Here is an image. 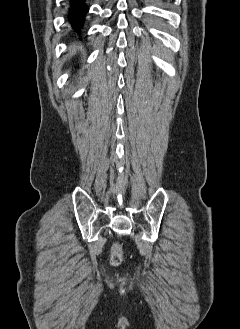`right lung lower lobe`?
Listing matches in <instances>:
<instances>
[{"mask_svg": "<svg viewBox=\"0 0 240 329\" xmlns=\"http://www.w3.org/2000/svg\"><path fill=\"white\" fill-rule=\"evenodd\" d=\"M88 10L89 8L85 4V0H70L68 20L71 23L72 28L78 33L84 24Z\"/></svg>", "mask_w": 240, "mask_h": 329, "instance_id": "98d812e1", "label": "right lung lower lobe"}]
</instances>
